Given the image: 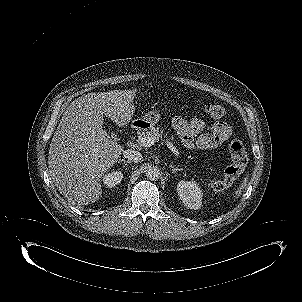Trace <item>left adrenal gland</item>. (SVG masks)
<instances>
[{"mask_svg": "<svg viewBox=\"0 0 302 302\" xmlns=\"http://www.w3.org/2000/svg\"><path fill=\"white\" fill-rule=\"evenodd\" d=\"M172 168V173H175L177 171H180L181 169H179L178 167H174V166H170Z\"/></svg>", "mask_w": 302, "mask_h": 302, "instance_id": "obj_1", "label": "left adrenal gland"}]
</instances>
